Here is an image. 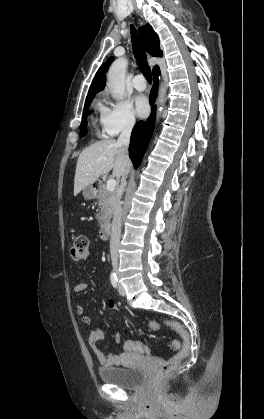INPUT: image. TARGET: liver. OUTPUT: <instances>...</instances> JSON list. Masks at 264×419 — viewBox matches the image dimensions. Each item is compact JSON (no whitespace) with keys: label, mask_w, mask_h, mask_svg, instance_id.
Segmentation results:
<instances>
[{"label":"liver","mask_w":264,"mask_h":419,"mask_svg":"<svg viewBox=\"0 0 264 419\" xmlns=\"http://www.w3.org/2000/svg\"><path fill=\"white\" fill-rule=\"evenodd\" d=\"M130 168L131 161L128 154L114 139L95 142L83 150L78 157L74 178V196L112 169L113 176L120 178V176L128 174Z\"/></svg>","instance_id":"obj_1"}]
</instances>
